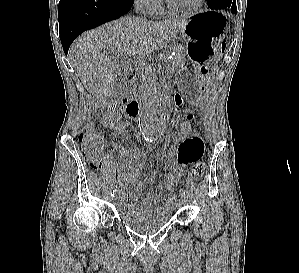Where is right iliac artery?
Instances as JSON below:
<instances>
[{"instance_id": "1", "label": "right iliac artery", "mask_w": 299, "mask_h": 273, "mask_svg": "<svg viewBox=\"0 0 299 273\" xmlns=\"http://www.w3.org/2000/svg\"><path fill=\"white\" fill-rule=\"evenodd\" d=\"M114 192H115V191L113 190V192L111 193L112 196H114Z\"/></svg>"}]
</instances>
